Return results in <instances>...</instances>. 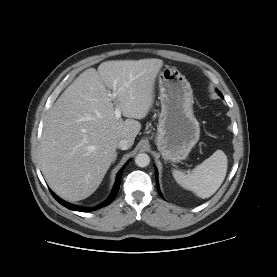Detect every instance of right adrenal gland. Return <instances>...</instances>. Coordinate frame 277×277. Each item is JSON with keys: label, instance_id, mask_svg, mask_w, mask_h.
Masks as SVG:
<instances>
[{"label": "right adrenal gland", "instance_id": "1", "mask_svg": "<svg viewBox=\"0 0 277 277\" xmlns=\"http://www.w3.org/2000/svg\"><path fill=\"white\" fill-rule=\"evenodd\" d=\"M116 158H117V153H116V155H115V157H114V159H113V162H112V163H114V162H115Z\"/></svg>", "mask_w": 277, "mask_h": 277}]
</instances>
